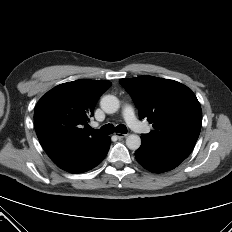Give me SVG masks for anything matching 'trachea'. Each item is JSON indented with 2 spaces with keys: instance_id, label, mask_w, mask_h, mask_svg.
<instances>
[{
  "instance_id": "1",
  "label": "trachea",
  "mask_w": 232,
  "mask_h": 232,
  "mask_svg": "<svg viewBox=\"0 0 232 232\" xmlns=\"http://www.w3.org/2000/svg\"><path fill=\"white\" fill-rule=\"evenodd\" d=\"M114 131H116L117 133L126 134L127 128L123 124H119L116 128H114L112 124H106L99 131H95L91 128V132L98 133L99 135H109L112 134Z\"/></svg>"
}]
</instances>
